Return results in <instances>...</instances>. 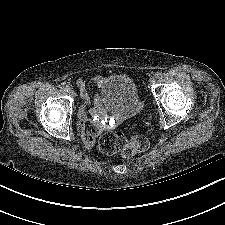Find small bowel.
Masks as SVG:
<instances>
[{"label": "small bowel", "mask_w": 225, "mask_h": 225, "mask_svg": "<svg viewBox=\"0 0 225 225\" xmlns=\"http://www.w3.org/2000/svg\"><path fill=\"white\" fill-rule=\"evenodd\" d=\"M93 83L98 86H102L106 81L101 75H97L92 79ZM77 85L80 89V93L83 99V104L78 110V126L81 133L84 144L87 147H93L96 141V137L99 131L97 126L87 128L86 124L88 121L96 123L102 114V106L99 97H95L92 101L85 86V82L79 80Z\"/></svg>", "instance_id": "c3829d8e"}]
</instances>
